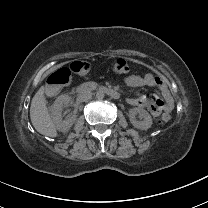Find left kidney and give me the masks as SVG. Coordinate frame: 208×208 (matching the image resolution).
<instances>
[{"label": "left kidney", "mask_w": 208, "mask_h": 208, "mask_svg": "<svg viewBox=\"0 0 208 208\" xmlns=\"http://www.w3.org/2000/svg\"><path fill=\"white\" fill-rule=\"evenodd\" d=\"M138 114L140 119L144 120H135V115ZM129 121L132 124V126L136 129L140 130H148L152 126V117L148 113L147 110H145L142 107H134L129 109Z\"/></svg>", "instance_id": "1"}]
</instances>
